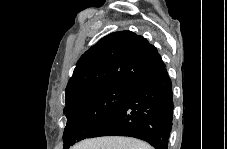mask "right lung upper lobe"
Listing matches in <instances>:
<instances>
[{
	"mask_svg": "<svg viewBox=\"0 0 227 149\" xmlns=\"http://www.w3.org/2000/svg\"><path fill=\"white\" fill-rule=\"evenodd\" d=\"M164 67L157 49L144 37L131 31L111 33L79 59L65 90L66 107L103 86L134 87Z\"/></svg>",
	"mask_w": 227,
	"mask_h": 149,
	"instance_id": "1",
	"label": "right lung upper lobe"
}]
</instances>
